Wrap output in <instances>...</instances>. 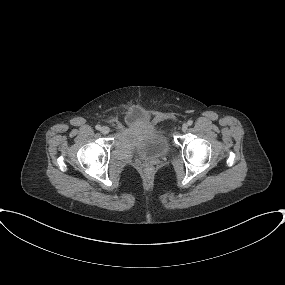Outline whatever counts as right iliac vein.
Returning <instances> with one entry per match:
<instances>
[{"label": "right iliac vein", "instance_id": "63e3f726", "mask_svg": "<svg viewBox=\"0 0 285 285\" xmlns=\"http://www.w3.org/2000/svg\"><path fill=\"white\" fill-rule=\"evenodd\" d=\"M100 131L102 134L106 135L110 132V129L107 126H103V127H101Z\"/></svg>", "mask_w": 285, "mask_h": 285}]
</instances>
